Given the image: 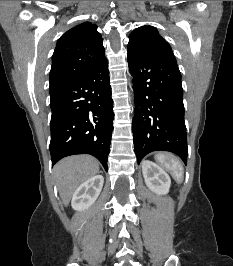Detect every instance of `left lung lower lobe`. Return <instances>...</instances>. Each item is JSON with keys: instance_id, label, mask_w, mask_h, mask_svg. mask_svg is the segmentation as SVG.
I'll use <instances>...</instances> for the list:
<instances>
[{"instance_id": "obj_1", "label": "left lung lower lobe", "mask_w": 233, "mask_h": 266, "mask_svg": "<svg viewBox=\"0 0 233 266\" xmlns=\"http://www.w3.org/2000/svg\"><path fill=\"white\" fill-rule=\"evenodd\" d=\"M127 58L134 78L132 130L138 164L157 150L173 152L186 164L183 89L175 57L128 49Z\"/></svg>"}]
</instances>
